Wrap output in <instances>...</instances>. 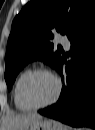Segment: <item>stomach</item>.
<instances>
[{"label":"stomach","mask_w":95,"mask_h":130,"mask_svg":"<svg viewBox=\"0 0 95 130\" xmlns=\"http://www.w3.org/2000/svg\"><path fill=\"white\" fill-rule=\"evenodd\" d=\"M28 130H63V126L55 120L41 119L32 123Z\"/></svg>","instance_id":"1"}]
</instances>
